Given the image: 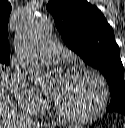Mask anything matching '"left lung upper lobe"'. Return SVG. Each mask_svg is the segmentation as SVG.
<instances>
[{
  "mask_svg": "<svg viewBox=\"0 0 125 128\" xmlns=\"http://www.w3.org/2000/svg\"><path fill=\"white\" fill-rule=\"evenodd\" d=\"M46 8L65 44L105 76L111 95L106 110H125L124 67L113 29L102 12L86 0H53Z\"/></svg>",
  "mask_w": 125,
  "mask_h": 128,
  "instance_id": "5c2ea615",
  "label": "left lung upper lobe"
}]
</instances>
